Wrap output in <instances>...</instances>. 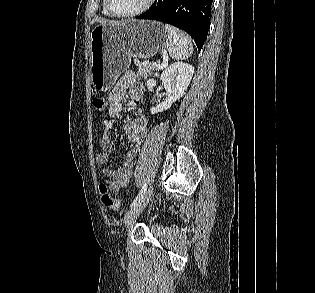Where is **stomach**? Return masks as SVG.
<instances>
[{
	"label": "stomach",
	"instance_id": "stomach-1",
	"mask_svg": "<svg viewBox=\"0 0 315 293\" xmlns=\"http://www.w3.org/2000/svg\"><path fill=\"white\" fill-rule=\"evenodd\" d=\"M169 44L164 26L157 21L128 20L100 24L90 33V73L95 90L111 89L128 69L132 58L148 59Z\"/></svg>",
	"mask_w": 315,
	"mask_h": 293
}]
</instances>
